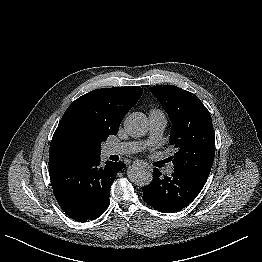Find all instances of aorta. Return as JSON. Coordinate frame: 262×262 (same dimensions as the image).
I'll list each match as a JSON object with an SVG mask.
<instances>
[{
  "mask_svg": "<svg viewBox=\"0 0 262 262\" xmlns=\"http://www.w3.org/2000/svg\"><path fill=\"white\" fill-rule=\"evenodd\" d=\"M125 131L132 137H142L148 132V120L145 114L134 112L124 121ZM127 175L131 182L139 186L149 185L153 176L150 170L144 166L133 165L129 167Z\"/></svg>",
  "mask_w": 262,
  "mask_h": 262,
  "instance_id": "aorta-1",
  "label": "aorta"
}]
</instances>
